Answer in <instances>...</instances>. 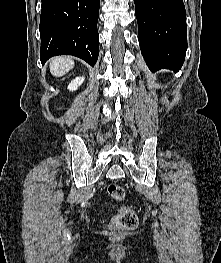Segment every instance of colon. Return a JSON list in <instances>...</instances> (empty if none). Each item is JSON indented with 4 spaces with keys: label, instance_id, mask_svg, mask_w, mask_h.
<instances>
[{
    "label": "colon",
    "instance_id": "obj_1",
    "mask_svg": "<svg viewBox=\"0 0 221 263\" xmlns=\"http://www.w3.org/2000/svg\"><path fill=\"white\" fill-rule=\"evenodd\" d=\"M107 192L115 202H119L125 197L123 187L115 183L108 185ZM111 224L117 230H133L138 224V217L135 211L130 207H121L118 209L117 214L113 217Z\"/></svg>",
    "mask_w": 221,
    "mask_h": 263
}]
</instances>
